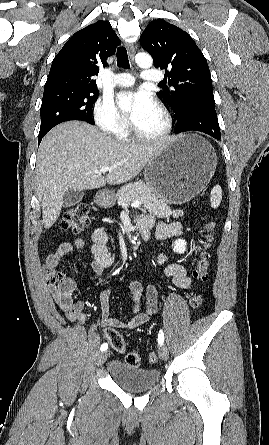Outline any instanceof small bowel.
Returning a JSON list of instances; mask_svg holds the SVG:
<instances>
[{"label":"small bowel","mask_w":269,"mask_h":445,"mask_svg":"<svg viewBox=\"0 0 269 445\" xmlns=\"http://www.w3.org/2000/svg\"><path fill=\"white\" fill-rule=\"evenodd\" d=\"M138 226L142 235L149 236L151 232L154 231L155 237L161 240L167 238L179 239L183 236L182 226L178 222L156 224L152 218L141 217L138 220ZM107 241L108 235L105 228L100 227L93 232V243L90 249L92 255L91 266L94 273L91 277L92 280L103 275V273L114 264L115 257L109 252ZM86 247L87 243L82 238H78L73 242H64L57 246L47 257L46 264L57 266V264L74 249L83 250ZM157 262L164 268L166 276L177 287L183 290L191 289V279L181 264L169 262L167 256L164 254L158 255ZM127 285L133 298L132 316L128 320L110 317V292L108 290H102L98 293L101 325L105 328V337L107 331L113 330V328L135 329L141 326L149 320L150 316L155 313L157 309L158 292L154 285L150 284L146 288L148 302L146 312H140L143 285L136 280H129ZM50 291L55 302L69 321L80 324L85 323L87 317L84 311L85 305L82 300L73 299L71 293L67 294V298H64L65 294L56 287H50Z\"/></svg>","instance_id":"obj_1"}]
</instances>
